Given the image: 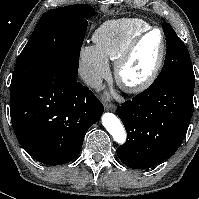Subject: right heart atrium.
Masks as SVG:
<instances>
[{
	"label": "right heart atrium",
	"instance_id": "d8ad5b80",
	"mask_svg": "<svg viewBox=\"0 0 199 199\" xmlns=\"http://www.w3.org/2000/svg\"><path fill=\"white\" fill-rule=\"evenodd\" d=\"M80 75L85 83L94 89L109 75V64L96 46H83L80 51Z\"/></svg>",
	"mask_w": 199,
	"mask_h": 199
}]
</instances>
